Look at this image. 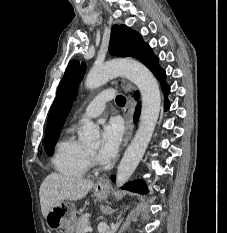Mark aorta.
Instances as JSON below:
<instances>
[{
	"label": "aorta",
	"instance_id": "aorta-1",
	"mask_svg": "<svg viewBox=\"0 0 227 233\" xmlns=\"http://www.w3.org/2000/svg\"><path fill=\"white\" fill-rule=\"evenodd\" d=\"M123 76L132 81L141 94V115L138 129L117 168L116 185L125 184L141 161L152 138L158 121L161 96L157 80L147 67L133 60H115L90 70L85 81L87 89L98 88L109 80ZM80 140L87 146L99 143V128L92 121L84 119Z\"/></svg>",
	"mask_w": 227,
	"mask_h": 233
}]
</instances>
